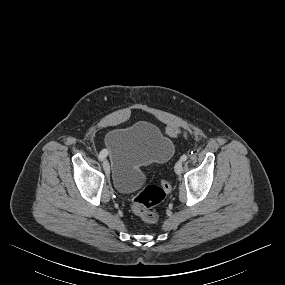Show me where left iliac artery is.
<instances>
[{"label": "left iliac artery", "mask_w": 285, "mask_h": 285, "mask_svg": "<svg viewBox=\"0 0 285 285\" xmlns=\"http://www.w3.org/2000/svg\"><path fill=\"white\" fill-rule=\"evenodd\" d=\"M181 161H186L187 160V155L183 154L180 158Z\"/></svg>", "instance_id": "1"}]
</instances>
